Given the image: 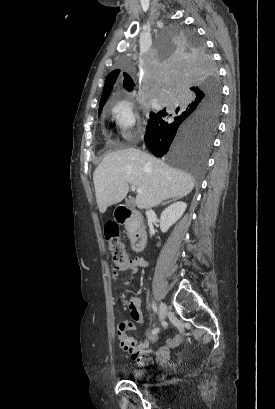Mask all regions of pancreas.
<instances>
[{
    "mask_svg": "<svg viewBox=\"0 0 275 409\" xmlns=\"http://www.w3.org/2000/svg\"><path fill=\"white\" fill-rule=\"evenodd\" d=\"M138 227H139V223L138 221H135V219H130V221H127V223H125V229L126 231H128L127 235L129 239H131L132 235H134Z\"/></svg>",
    "mask_w": 275,
    "mask_h": 409,
    "instance_id": "1",
    "label": "pancreas"
}]
</instances>
